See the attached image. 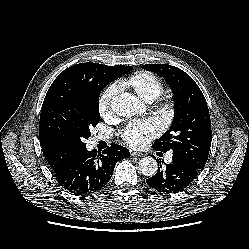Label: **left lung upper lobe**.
I'll list each match as a JSON object with an SVG mask.
<instances>
[{"label":"left lung upper lobe","mask_w":249,"mask_h":249,"mask_svg":"<svg viewBox=\"0 0 249 249\" xmlns=\"http://www.w3.org/2000/svg\"><path fill=\"white\" fill-rule=\"evenodd\" d=\"M145 70L163 77L174 94L175 116L172 126L152 147L203 170L211 147L212 131L204 95L195 81L183 70L168 64H146Z\"/></svg>","instance_id":"1"}]
</instances>
